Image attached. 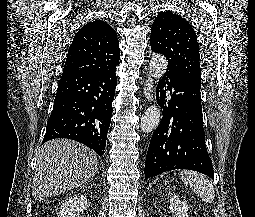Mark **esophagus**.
<instances>
[{"label":"esophagus","instance_id":"1","mask_svg":"<svg viewBox=\"0 0 255 217\" xmlns=\"http://www.w3.org/2000/svg\"><path fill=\"white\" fill-rule=\"evenodd\" d=\"M143 93L149 102L153 100V82L150 76L145 79Z\"/></svg>","mask_w":255,"mask_h":217}]
</instances>
